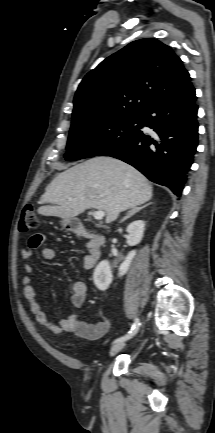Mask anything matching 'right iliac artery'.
<instances>
[{
    "mask_svg": "<svg viewBox=\"0 0 215 433\" xmlns=\"http://www.w3.org/2000/svg\"><path fill=\"white\" fill-rule=\"evenodd\" d=\"M139 327H140L139 319L135 318L134 324H133L131 330L125 336H122V337L116 339L114 341V343L120 342V341H125V340H128V339L132 338L138 332Z\"/></svg>",
    "mask_w": 215,
    "mask_h": 433,
    "instance_id": "1",
    "label": "right iliac artery"
}]
</instances>
